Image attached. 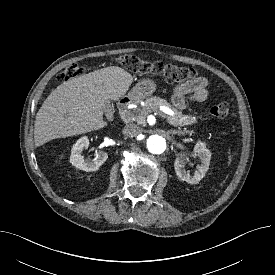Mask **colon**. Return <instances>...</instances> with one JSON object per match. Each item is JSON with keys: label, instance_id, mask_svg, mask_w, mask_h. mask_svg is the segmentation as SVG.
Wrapping results in <instances>:
<instances>
[{"label": "colon", "instance_id": "obj_1", "mask_svg": "<svg viewBox=\"0 0 275 275\" xmlns=\"http://www.w3.org/2000/svg\"><path fill=\"white\" fill-rule=\"evenodd\" d=\"M118 61L124 68L133 73L160 76L169 83H184L195 79L197 76V71L194 68L161 62H147L132 54L122 55ZM83 72L81 66L71 65L59 75V79L68 81L81 76ZM210 113L217 119H226L230 115V107L227 103L220 102L211 107Z\"/></svg>", "mask_w": 275, "mask_h": 275}]
</instances>
